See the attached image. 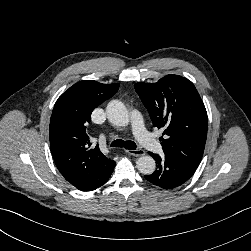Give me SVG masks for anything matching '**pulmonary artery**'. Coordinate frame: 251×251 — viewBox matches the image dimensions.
<instances>
[{"label": "pulmonary artery", "mask_w": 251, "mask_h": 251, "mask_svg": "<svg viewBox=\"0 0 251 251\" xmlns=\"http://www.w3.org/2000/svg\"><path fill=\"white\" fill-rule=\"evenodd\" d=\"M131 126L135 137L148 150L155 154L163 152L162 145L145 129L142 115L133 111L130 117Z\"/></svg>", "instance_id": "pulmonary-artery-1"}]
</instances>
